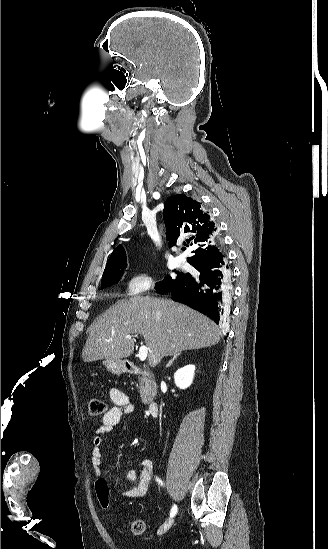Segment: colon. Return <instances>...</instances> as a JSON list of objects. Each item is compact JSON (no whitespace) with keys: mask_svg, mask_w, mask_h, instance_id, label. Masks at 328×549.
Masks as SVG:
<instances>
[{"mask_svg":"<svg viewBox=\"0 0 328 549\" xmlns=\"http://www.w3.org/2000/svg\"><path fill=\"white\" fill-rule=\"evenodd\" d=\"M87 406L91 416H100L106 410L103 400L95 396L88 398ZM95 489L100 507L108 509L110 506V492L107 482L104 479H98L95 483ZM145 527V521L142 519L134 520L130 525L131 532L136 535L142 534L145 531Z\"/></svg>","mask_w":328,"mask_h":549,"instance_id":"1","label":"colon"}]
</instances>
